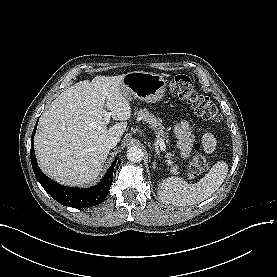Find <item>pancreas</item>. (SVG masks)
I'll return each mask as SVG.
<instances>
[{
	"label": "pancreas",
	"mask_w": 277,
	"mask_h": 277,
	"mask_svg": "<svg viewBox=\"0 0 277 277\" xmlns=\"http://www.w3.org/2000/svg\"><path fill=\"white\" fill-rule=\"evenodd\" d=\"M137 119L143 120L150 125V127L155 131V133L164 141L167 139V133L164 132V127L161 123V119L154 114L150 113L146 108L140 109L136 113ZM168 144V140H167ZM166 158L168 165L171 166L170 171L173 174H178V166L173 164L172 159L174 158V154L167 153Z\"/></svg>",
	"instance_id": "obj_1"
}]
</instances>
